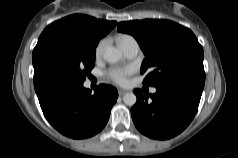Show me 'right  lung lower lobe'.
<instances>
[{"label":"right lung lower lobe","mask_w":238,"mask_h":158,"mask_svg":"<svg viewBox=\"0 0 238 158\" xmlns=\"http://www.w3.org/2000/svg\"><path fill=\"white\" fill-rule=\"evenodd\" d=\"M34 87L47 120L60 133L74 139L99 133L118 97L110 85L101 84L92 93L82 81L53 70L34 74Z\"/></svg>","instance_id":"1"}]
</instances>
